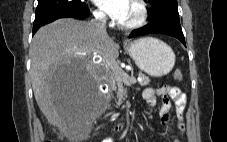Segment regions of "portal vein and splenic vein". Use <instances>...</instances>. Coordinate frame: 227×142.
I'll list each match as a JSON object with an SVG mask.
<instances>
[{
  "mask_svg": "<svg viewBox=\"0 0 227 142\" xmlns=\"http://www.w3.org/2000/svg\"><path fill=\"white\" fill-rule=\"evenodd\" d=\"M115 74L119 79H121L128 86H131L132 84L136 83L135 77L129 76L127 73L123 72L122 70H117ZM138 80L140 81L141 78H138Z\"/></svg>",
  "mask_w": 227,
  "mask_h": 142,
  "instance_id": "portal-vein-and-splenic-vein-1",
  "label": "portal vein and splenic vein"
}]
</instances>
